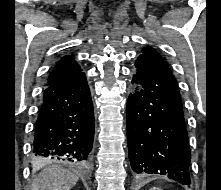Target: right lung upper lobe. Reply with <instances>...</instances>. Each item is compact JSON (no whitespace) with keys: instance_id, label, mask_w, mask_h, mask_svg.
I'll use <instances>...</instances> for the list:
<instances>
[{"instance_id":"1","label":"right lung upper lobe","mask_w":221,"mask_h":190,"mask_svg":"<svg viewBox=\"0 0 221 190\" xmlns=\"http://www.w3.org/2000/svg\"><path fill=\"white\" fill-rule=\"evenodd\" d=\"M81 72L73 56L62 57L49 74L46 86L67 79Z\"/></svg>"}]
</instances>
